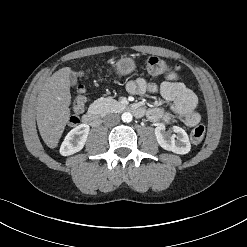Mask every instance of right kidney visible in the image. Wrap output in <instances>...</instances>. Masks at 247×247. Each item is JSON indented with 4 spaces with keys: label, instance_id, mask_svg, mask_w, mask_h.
I'll return each mask as SVG.
<instances>
[{
    "label": "right kidney",
    "instance_id": "ca27d5eb",
    "mask_svg": "<svg viewBox=\"0 0 247 247\" xmlns=\"http://www.w3.org/2000/svg\"><path fill=\"white\" fill-rule=\"evenodd\" d=\"M89 131L90 127L87 124H80L73 128L62 142L60 154L69 156L80 151L85 145Z\"/></svg>",
    "mask_w": 247,
    "mask_h": 247
}]
</instances>
